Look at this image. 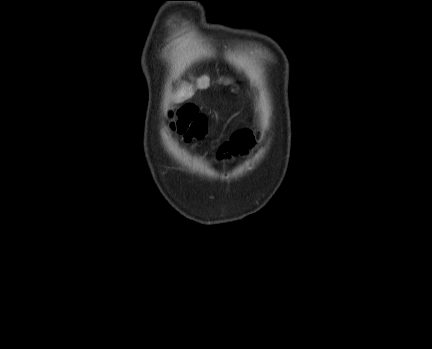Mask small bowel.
Segmentation results:
<instances>
[{
    "instance_id": "1",
    "label": "small bowel",
    "mask_w": 432,
    "mask_h": 349,
    "mask_svg": "<svg viewBox=\"0 0 432 349\" xmlns=\"http://www.w3.org/2000/svg\"><path fill=\"white\" fill-rule=\"evenodd\" d=\"M255 144V137L249 130L238 131L231 141L225 144L222 152L228 155H239L246 153Z\"/></svg>"
}]
</instances>
